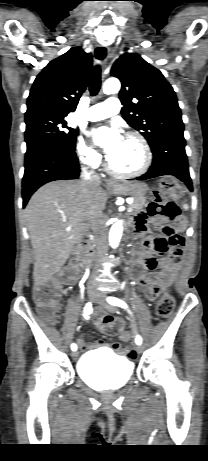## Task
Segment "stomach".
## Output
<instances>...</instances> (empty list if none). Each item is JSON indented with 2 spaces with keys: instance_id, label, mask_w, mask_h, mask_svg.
Here are the masks:
<instances>
[{
  "instance_id": "0dacf381",
  "label": "stomach",
  "mask_w": 208,
  "mask_h": 461,
  "mask_svg": "<svg viewBox=\"0 0 208 461\" xmlns=\"http://www.w3.org/2000/svg\"><path fill=\"white\" fill-rule=\"evenodd\" d=\"M111 190L116 194L130 195L134 199L144 198L149 187L144 182H121L113 185Z\"/></svg>"
}]
</instances>
